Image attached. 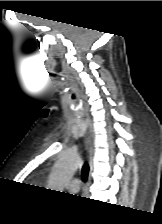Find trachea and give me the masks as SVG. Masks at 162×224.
Instances as JSON below:
<instances>
[{
	"label": "trachea",
	"mask_w": 162,
	"mask_h": 224,
	"mask_svg": "<svg viewBox=\"0 0 162 224\" xmlns=\"http://www.w3.org/2000/svg\"><path fill=\"white\" fill-rule=\"evenodd\" d=\"M88 174H89V165H88V163H85L82 167V172H81V176H82L83 181L87 180Z\"/></svg>",
	"instance_id": "3493384b"
}]
</instances>
